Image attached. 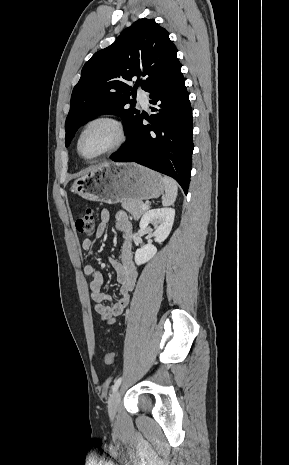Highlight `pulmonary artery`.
<instances>
[{"label":"pulmonary artery","mask_w":289,"mask_h":465,"mask_svg":"<svg viewBox=\"0 0 289 465\" xmlns=\"http://www.w3.org/2000/svg\"><path fill=\"white\" fill-rule=\"evenodd\" d=\"M137 98L144 107H147V105H148V97H147V94H146V92L144 90L140 89L138 91Z\"/></svg>","instance_id":"1"}]
</instances>
